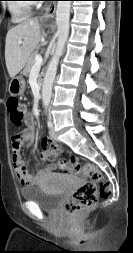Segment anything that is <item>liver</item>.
<instances>
[{"label": "liver", "instance_id": "liver-1", "mask_svg": "<svg viewBox=\"0 0 133 253\" xmlns=\"http://www.w3.org/2000/svg\"><path fill=\"white\" fill-rule=\"evenodd\" d=\"M43 31L37 18L27 19L11 28L6 35L5 61L8 73L14 78L26 65L38 46ZM19 41H22L20 44Z\"/></svg>", "mask_w": 133, "mask_h": 253}]
</instances>
